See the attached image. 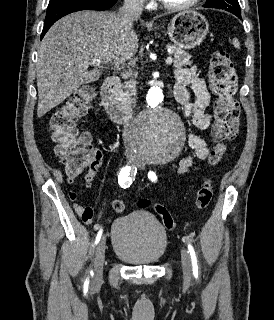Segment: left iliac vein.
<instances>
[{
	"instance_id": "1",
	"label": "left iliac vein",
	"mask_w": 274,
	"mask_h": 320,
	"mask_svg": "<svg viewBox=\"0 0 274 320\" xmlns=\"http://www.w3.org/2000/svg\"><path fill=\"white\" fill-rule=\"evenodd\" d=\"M136 165L138 168L143 167V163L141 161L136 162ZM181 262H182L184 277L186 280H190L191 274H192V263H191L190 255L185 248L181 250Z\"/></svg>"
}]
</instances>
